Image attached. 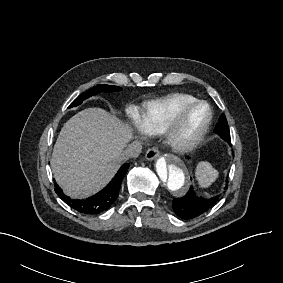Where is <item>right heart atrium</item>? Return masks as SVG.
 Here are the masks:
<instances>
[{"label": "right heart atrium", "instance_id": "d8ad5b80", "mask_svg": "<svg viewBox=\"0 0 283 283\" xmlns=\"http://www.w3.org/2000/svg\"><path fill=\"white\" fill-rule=\"evenodd\" d=\"M124 116L129 117V118L133 119L135 122L138 123V125L141 127V129L143 131V135H144V144L143 145L147 144V142L149 140L148 132H147V129H146L140 115L135 110L128 108V109H126Z\"/></svg>", "mask_w": 283, "mask_h": 283}]
</instances>
